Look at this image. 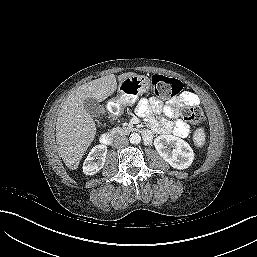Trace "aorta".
<instances>
[{
  "mask_svg": "<svg viewBox=\"0 0 257 257\" xmlns=\"http://www.w3.org/2000/svg\"><path fill=\"white\" fill-rule=\"evenodd\" d=\"M130 143L138 144L141 141V136L138 133H132L129 137Z\"/></svg>",
  "mask_w": 257,
  "mask_h": 257,
  "instance_id": "1",
  "label": "aorta"
}]
</instances>
